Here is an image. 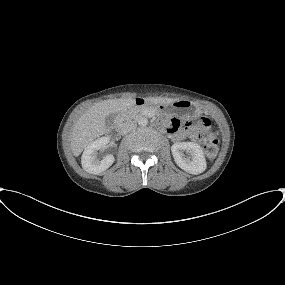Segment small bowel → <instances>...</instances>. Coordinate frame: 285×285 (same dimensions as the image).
I'll return each mask as SVG.
<instances>
[{"instance_id": "c3829d8e", "label": "small bowel", "mask_w": 285, "mask_h": 285, "mask_svg": "<svg viewBox=\"0 0 285 285\" xmlns=\"http://www.w3.org/2000/svg\"><path fill=\"white\" fill-rule=\"evenodd\" d=\"M168 132H169L171 138L174 140H180V139H183L185 137V134L182 131L178 130L177 128H175L173 126H169Z\"/></svg>"}]
</instances>
